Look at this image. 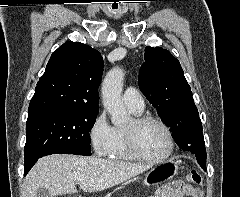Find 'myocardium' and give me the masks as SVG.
Returning <instances> with one entry per match:
<instances>
[{
	"label": "myocardium",
	"mask_w": 240,
	"mask_h": 197,
	"mask_svg": "<svg viewBox=\"0 0 240 197\" xmlns=\"http://www.w3.org/2000/svg\"><path fill=\"white\" fill-rule=\"evenodd\" d=\"M148 122H156L160 124L165 130L168 137V142H169L168 151L159 158H152L147 156L141 150L138 144V138H137L138 130L141 126L145 125ZM125 138H126V144L130 153L136 159L147 162V163H152V164L162 163L168 160L172 156L175 149V139L170 126L163 119L155 115L143 114L135 117L133 119V127L131 129H125Z\"/></svg>",
	"instance_id": "obj_1"
}]
</instances>
